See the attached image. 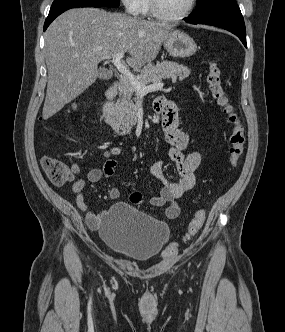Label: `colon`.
I'll return each mask as SVG.
<instances>
[{
	"label": "colon",
	"instance_id": "1",
	"mask_svg": "<svg viewBox=\"0 0 285 332\" xmlns=\"http://www.w3.org/2000/svg\"><path fill=\"white\" fill-rule=\"evenodd\" d=\"M206 80L212 98L226 115L227 121L232 126L228 139V156L230 164L236 166L244 153L246 142L245 130L223 86L221 68L216 61L210 62ZM41 165L49 180L57 186H62L73 179L74 174L71 171V167L55 157L44 156L41 160ZM205 219L206 212L203 209L197 210L186 228L183 236L184 240L195 236L202 228ZM177 252L178 246L176 242H170L165 248L166 257L175 256Z\"/></svg>",
	"mask_w": 285,
	"mask_h": 332
}]
</instances>
